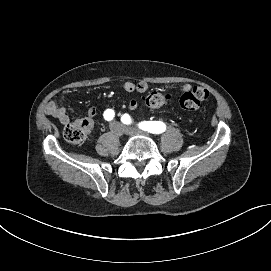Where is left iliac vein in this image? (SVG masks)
Returning <instances> with one entry per match:
<instances>
[{"instance_id":"4c4485c4","label":"left iliac vein","mask_w":271,"mask_h":271,"mask_svg":"<svg viewBox=\"0 0 271 271\" xmlns=\"http://www.w3.org/2000/svg\"><path fill=\"white\" fill-rule=\"evenodd\" d=\"M124 132L127 133V134H130V135H133V134H139V135H144V136L149 137V134H148V133L143 132V131H140V130H138V129H134V128H131V127H127V126L124 127Z\"/></svg>"}]
</instances>
